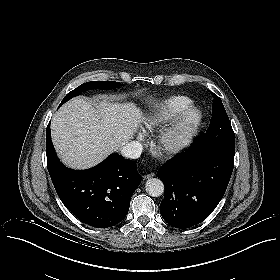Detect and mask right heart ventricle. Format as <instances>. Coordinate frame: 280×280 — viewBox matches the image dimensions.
I'll list each match as a JSON object with an SVG mask.
<instances>
[{
    "instance_id": "obj_1",
    "label": "right heart ventricle",
    "mask_w": 280,
    "mask_h": 280,
    "mask_svg": "<svg viewBox=\"0 0 280 280\" xmlns=\"http://www.w3.org/2000/svg\"><path fill=\"white\" fill-rule=\"evenodd\" d=\"M166 110L169 118L174 117L178 112L184 110L190 105V99L182 94H175L168 97L165 101ZM164 125L163 121L156 120L151 121L148 125L149 130H158L161 129Z\"/></svg>"
}]
</instances>
